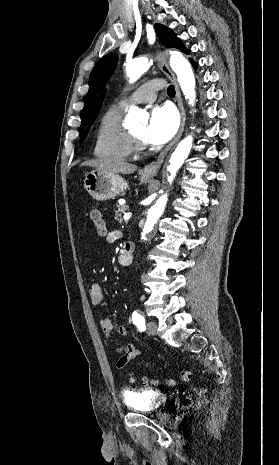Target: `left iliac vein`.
Segmentation results:
<instances>
[{"mask_svg": "<svg viewBox=\"0 0 279 465\" xmlns=\"http://www.w3.org/2000/svg\"><path fill=\"white\" fill-rule=\"evenodd\" d=\"M146 328H147V333L149 335H152V336L156 335V333H157V324H156V322H154V321L147 322Z\"/></svg>", "mask_w": 279, "mask_h": 465, "instance_id": "1", "label": "left iliac vein"}]
</instances>
